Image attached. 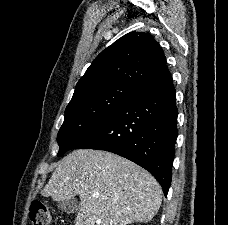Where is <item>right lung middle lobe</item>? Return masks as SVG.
I'll return each mask as SVG.
<instances>
[{
  "instance_id": "right-lung-middle-lobe-1",
  "label": "right lung middle lobe",
  "mask_w": 228,
  "mask_h": 225,
  "mask_svg": "<svg viewBox=\"0 0 228 225\" xmlns=\"http://www.w3.org/2000/svg\"><path fill=\"white\" fill-rule=\"evenodd\" d=\"M138 89L127 83L112 82L80 93L66 107L64 123L57 136L58 156L111 116Z\"/></svg>"
}]
</instances>
